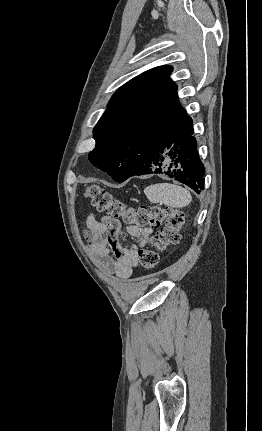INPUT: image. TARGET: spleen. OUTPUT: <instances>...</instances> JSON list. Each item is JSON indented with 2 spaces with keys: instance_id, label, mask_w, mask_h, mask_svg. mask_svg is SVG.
<instances>
[{
  "instance_id": "spleen-1",
  "label": "spleen",
  "mask_w": 262,
  "mask_h": 431,
  "mask_svg": "<svg viewBox=\"0 0 262 431\" xmlns=\"http://www.w3.org/2000/svg\"><path fill=\"white\" fill-rule=\"evenodd\" d=\"M148 200L152 203H163L170 207L182 208L192 201L190 192L178 185L170 183H157L144 190Z\"/></svg>"
}]
</instances>
